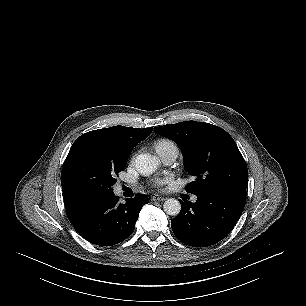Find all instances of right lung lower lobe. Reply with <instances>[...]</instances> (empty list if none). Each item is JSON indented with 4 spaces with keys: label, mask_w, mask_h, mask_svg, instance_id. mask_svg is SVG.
Instances as JSON below:
<instances>
[{
    "label": "right lung lower lobe",
    "mask_w": 306,
    "mask_h": 306,
    "mask_svg": "<svg viewBox=\"0 0 306 306\" xmlns=\"http://www.w3.org/2000/svg\"><path fill=\"white\" fill-rule=\"evenodd\" d=\"M148 201L146 195L137 194L121 204L118 196L113 194L68 212V218L87 241L100 246H111L132 234L139 212Z\"/></svg>",
    "instance_id": "obj_1"
}]
</instances>
